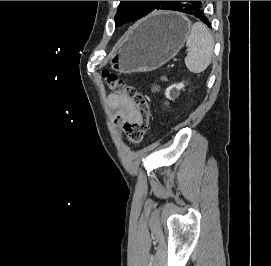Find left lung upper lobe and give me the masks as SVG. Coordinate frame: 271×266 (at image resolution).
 I'll list each match as a JSON object with an SVG mask.
<instances>
[{
  "label": "left lung upper lobe",
  "mask_w": 271,
  "mask_h": 266,
  "mask_svg": "<svg viewBox=\"0 0 271 266\" xmlns=\"http://www.w3.org/2000/svg\"><path fill=\"white\" fill-rule=\"evenodd\" d=\"M175 1H121L115 16L116 26L136 21L154 10H168Z\"/></svg>",
  "instance_id": "1"
}]
</instances>
